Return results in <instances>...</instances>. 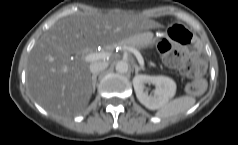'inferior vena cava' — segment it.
I'll return each mask as SVG.
<instances>
[{
    "label": "inferior vena cava",
    "instance_id": "602c4592",
    "mask_svg": "<svg viewBox=\"0 0 238 145\" xmlns=\"http://www.w3.org/2000/svg\"><path fill=\"white\" fill-rule=\"evenodd\" d=\"M108 67L107 62L96 61L90 64V71L93 75L100 73Z\"/></svg>",
    "mask_w": 238,
    "mask_h": 145
}]
</instances>
